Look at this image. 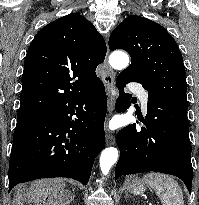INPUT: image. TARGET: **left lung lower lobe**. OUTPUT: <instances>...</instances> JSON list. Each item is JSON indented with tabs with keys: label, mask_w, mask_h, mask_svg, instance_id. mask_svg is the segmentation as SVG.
I'll list each match as a JSON object with an SVG mask.
<instances>
[{
	"label": "left lung lower lobe",
	"mask_w": 199,
	"mask_h": 205,
	"mask_svg": "<svg viewBox=\"0 0 199 205\" xmlns=\"http://www.w3.org/2000/svg\"><path fill=\"white\" fill-rule=\"evenodd\" d=\"M138 82L130 71L119 75L116 85L119 98L116 111L130 106V94L123 92L129 82ZM187 106L148 92L145 127L135 124L117 134L120 157L115 168V180L122 175L155 171L179 177L191 193L193 168Z\"/></svg>",
	"instance_id": "left-lung-lower-lobe-1"
}]
</instances>
